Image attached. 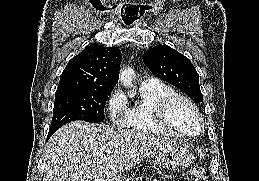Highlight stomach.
Segmentation results:
<instances>
[{"label":"stomach","mask_w":259,"mask_h":181,"mask_svg":"<svg viewBox=\"0 0 259 181\" xmlns=\"http://www.w3.org/2000/svg\"><path fill=\"white\" fill-rule=\"evenodd\" d=\"M191 161L192 154L177 143H171L170 147L156 153V162L168 170L174 171L186 168L190 165Z\"/></svg>","instance_id":"obj_1"}]
</instances>
